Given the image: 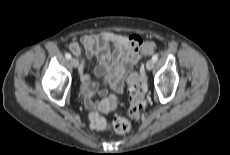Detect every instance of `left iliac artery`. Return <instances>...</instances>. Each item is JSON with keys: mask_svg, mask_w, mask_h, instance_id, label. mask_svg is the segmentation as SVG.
<instances>
[{"mask_svg": "<svg viewBox=\"0 0 230 155\" xmlns=\"http://www.w3.org/2000/svg\"><path fill=\"white\" fill-rule=\"evenodd\" d=\"M152 60H153L154 62H156V61L158 60V55H157V54L153 55V56H152Z\"/></svg>", "mask_w": 230, "mask_h": 155, "instance_id": "obj_1", "label": "left iliac artery"}]
</instances>
